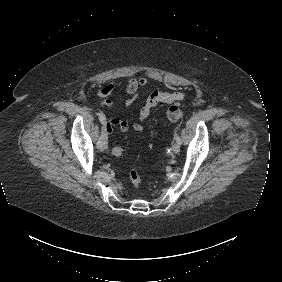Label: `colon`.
I'll return each instance as SVG.
<instances>
[{
	"label": "colon",
	"mask_w": 282,
	"mask_h": 282,
	"mask_svg": "<svg viewBox=\"0 0 282 282\" xmlns=\"http://www.w3.org/2000/svg\"><path fill=\"white\" fill-rule=\"evenodd\" d=\"M182 115L183 112L178 106H169L166 109V116L171 123H178L181 120ZM111 153L115 157H124L126 154L125 149L119 146L113 147ZM129 180L134 187H140L141 176L137 169L133 168L130 170Z\"/></svg>",
	"instance_id": "obj_1"
}]
</instances>
